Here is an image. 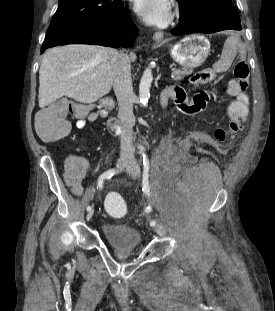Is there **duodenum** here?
<instances>
[{
    "label": "duodenum",
    "mask_w": 275,
    "mask_h": 311,
    "mask_svg": "<svg viewBox=\"0 0 275 311\" xmlns=\"http://www.w3.org/2000/svg\"><path fill=\"white\" fill-rule=\"evenodd\" d=\"M166 102H167L166 98H164L161 101V103L163 105H165ZM102 105L108 111H112L115 108V102L112 99H105V100H103ZM107 128H108L110 133H112L114 135L119 134V132L121 130V124H120L119 119L117 117H115V116L109 117L108 120H107Z\"/></svg>",
    "instance_id": "410a0bca"
}]
</instances>
